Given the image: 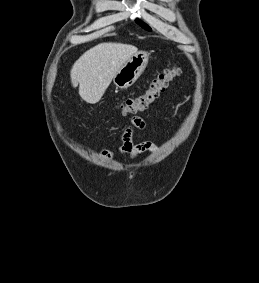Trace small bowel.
<instances>
[{"instance_id": "small-bowel-1", "label": "small bowel", "mask_w": 259, "mask_h": 283, "mask_svg": "<svg viewBox=\"0 0 259 283\" xmlns=\"http://www.w3.org/2000/svg\"><path fill=\"white\" fill-rule=\"evenodd\" d=\"M135 128L137 129L145 128V121L141 117L135 116L131 118L129 126H127L126 129L123 131L122 145L120 146L118 153L122 155H126L132 159L140 154L156 153L158 148L156 144L151 141L133 143L132 137H133V130ZM100 155L103 158L110 160L114 156V153L109 150H103L101 151Z\"/></svg>"}]
</instances>
